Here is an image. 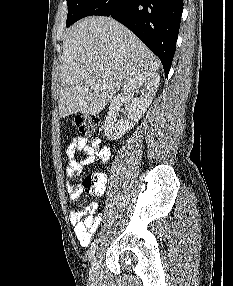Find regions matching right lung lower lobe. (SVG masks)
<instances>
[{
    "label": "right lung lower lobe",
    "mask_w": 233,
    "mask_h": 286,
    "mask_svg": "<svg viewBox=\"0 0 233 286\" xmlns=\"http://www.w3.org/2000/svg\"><path fill=\"white\" fill-rule=\"evenodd\" d=\"M183 0H94L78 20L111 16L135 33L156 54L168 76L176 49Z\"/></svg>",
    "instance_id": "obj_1"
}]
</instances>
